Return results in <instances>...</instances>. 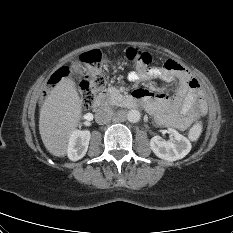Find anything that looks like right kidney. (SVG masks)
<instances>
[{
	"mask_svg": "<svg viewBox=\"0 0 233 233\" xmlns=\"http://www.w3.org/2000/svg\"><path fill=\"white\" fill-rule=\"evenodd\" d=\"M90 132L88 130H74L69 138L67 154L70 160L83 158L88 150Z\"/></svg>",
	"mask_w": 233,
	"mask_h": 233,
	"instance_id": "obj_1",
	"label": "right kidney"
}]
</instances>
